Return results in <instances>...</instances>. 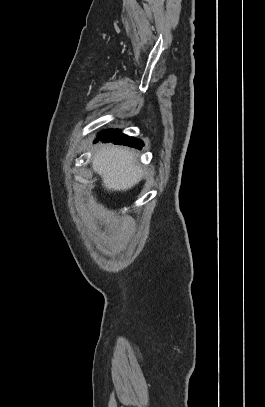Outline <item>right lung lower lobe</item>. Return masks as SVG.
<instances>
[{
  "label": "right lung lower lobe",
  "instance_id": "obj_1",
  "mask_svg": "<svg viewBox=\"0 0 265 407\" xmlns=\"http://www.w3.org/2000/svg\"><path fill=\"white\" fill-rule=\"evenodd\" d=\"M99 139L105 142H113L114 144L130 146L137 149H141L143 146V142L141 140L124 135L120 130H108L101 133L96 141Z\"/></svg>",
  "mask_w": 265,
  "mask_h": 407
}]
</instances>
